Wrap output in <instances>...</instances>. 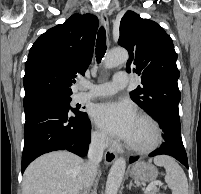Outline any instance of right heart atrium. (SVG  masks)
I'll return each instance as SVG.
<instances>
[{"instance_id":"d8ad5b80","label":"right heart atrium","mask_w":201,"mask_h":194,"mask_svg":"<svg viewBox=\"0 0 201 194\" xmlns=\"http://www.w3.org/2000/svg\"><path fill=\"white\" fill-rule=\"evenodd\" d=\"M93 144L98 148H104L109 144V139L107 136L99 130H94L92 132Z\"/></svg>"}]
</instances>
